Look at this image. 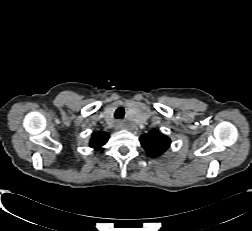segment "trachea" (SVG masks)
I'll use <instances>...</instances> for the list:
<instances>
[{
	"label": "trachea",
	"instance_id": "trachea-1",
	"mask_svg": "<svg viewBox=\"0 0 252 231\" xmlns=\"http://www.w3.org/2000/svg\"><path fill=\"white\" fill-rule=\"evenodd\" d=\"M124 115H125V110L123 107L117 108L114 114L116 119H122Z\"/></svg>",
	"mask_w": 252,
	"mask_h": 231
}]
</instances>
